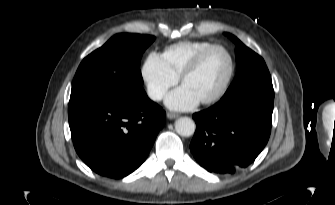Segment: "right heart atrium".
I'll return each instance as SVG.
<instances>
[{
    "label": "right heart atrium",
    "mask_w": 335,
    "mask_h": 205,
    "mask_svg": "<svg viewBox=\"0 0 335 205\" xmlns=\"http://www.w3.org/2000/svg\"><path fill=\"white\" fill-rule=\"evenodd\" d=\"M141 78L148 96L154 101L161 100L179 80V77L168 68L162 56L156 52L146 57L141 67Z\"/></svg>",
    "instance_id": "right-heart-atrium-1"
}]
</instances>
